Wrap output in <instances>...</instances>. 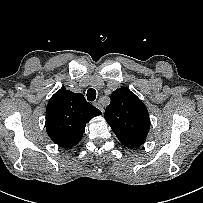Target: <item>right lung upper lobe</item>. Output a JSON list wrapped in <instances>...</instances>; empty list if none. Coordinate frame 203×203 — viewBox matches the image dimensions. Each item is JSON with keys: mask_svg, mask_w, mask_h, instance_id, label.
Wrapping results in <instances>:
<instances>
[{"mask_svg": "<svg viewBox=\"0 0 203 203\" xmlns=\"http://www.w3.org/2000/svg\"><path fill=\"white\" fill-rule=\"evenodd\" d=\"M100 114L82 94L61 88L46 107L47 134L59 146L72 148L82 139L86 123Z\"/></svg>", "mask_w": 203, "mask_h": 203, "instance_id": "right-lung-upper-lobe-1", "label": "right lung upper lobe"}]
</instances>
